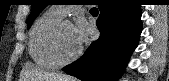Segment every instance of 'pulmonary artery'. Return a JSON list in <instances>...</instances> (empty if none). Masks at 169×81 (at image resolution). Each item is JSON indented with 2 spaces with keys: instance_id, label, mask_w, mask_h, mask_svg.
<instances>
[{
  "instance_id": "pulmonary-artery-1",
  "label": "pulmonary artery",
  "mask_w": 169,
  "mask_h": 81,
  "mask_svg": "<svg viewBox=\"0 0 169 81\" xmlns=\"http://www.w3.org/2000/svg\"><path fill=\"white\" fill-rule=\"evenodd\" d=\"M52 9L62 17H64L69 12V7L67 6H54Z\"/></svg>"
}]
</instances>
